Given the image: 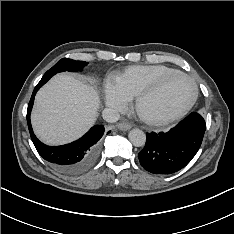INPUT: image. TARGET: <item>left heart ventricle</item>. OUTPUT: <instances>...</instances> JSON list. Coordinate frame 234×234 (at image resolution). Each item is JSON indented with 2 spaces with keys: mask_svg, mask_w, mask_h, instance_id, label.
<instances>
[{
  "mask_svg": "<svg viewBox=\"0 0 234 234\" xmlns=\"http://www.w3.org/2000/svg\"><path fill=\"white\" fill-rule=\"evenodd\" d=\"M193 95V86L184 77L169 79L154 95L148 98L143 110L150 115L173 113L183 108Z\"/></svg>",
  "mask_w": 234,
  "mask_h": 234,
  "instance_id": "1",
  "label": "left heart ventricle"
}]
</instances>
